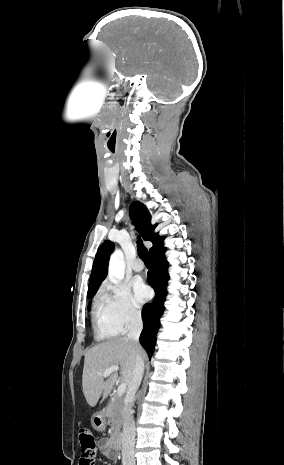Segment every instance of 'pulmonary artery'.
Here are the masks:
<instances>
[{
	"mask_svg": "<svg viewBox=\"0 0 284 465\" xmlns=\"http://www.w3.org/2000/svg\"><path fill=\"white\" fill-rule=\"evenodd\" d=\"M133 271L135 272H141L144 268V264L142 263L141 260L137 259L135 260L132 265H131Z\"/></svg>",
	"mask_w": 284,
	"mask_h": 465,
	"instance_id": "e3ab8cb5",
	"label": "pulmonary artery"
}]
</instances>
